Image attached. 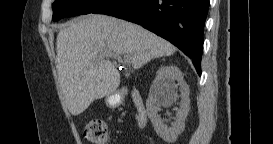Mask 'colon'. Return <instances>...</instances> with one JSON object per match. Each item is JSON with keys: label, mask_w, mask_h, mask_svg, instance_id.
<instances>
[{"label": "colon", "mask_w": 273, "mask_h": 144, "mask_svg": "<svg viewBox=\"0 0 273 144\" xmlns=\"http://www.w3.org/2000/svg\"><path fill=\"white\" fill-rule=\"evenodd\" d=\"M84 136L94 144H106L109 140L108 129L103 120H90L84 127Z\"/></svg>", "instance_id": "5ec220e1"}]
</instances>
